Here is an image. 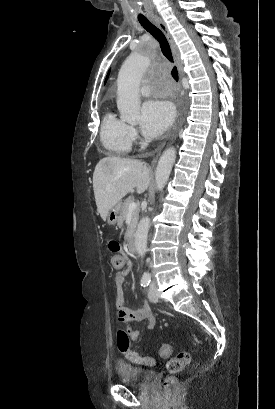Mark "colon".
I'll list each match as a JSON object with an SVG mask.
<instances>
[{
  "mask_svg": "<svg viewBox=\"0 0 275 409\" xmlns=\"http://www.w3.org/2000/svg\"><path fill=\"white\" fill-rule=\"evenodd\" d=\"M108 249L112 252H118L120 250V243L115 239H110L108 241ZM113 269L121 270L122 269V257L120 255H115L113 257ZM160 357L168 358L171 352L170 343L162 342L160 346ZM191 362V355L188 352H180L177 355L171 357L167 363V371L169 376L166 378V382H171L177 375L189 366Z\"/></svg>",
  "mask_w": 275,
  "mask_h": 409,
  "instance_id": "5ec220e1",
  "label": "colon"
}]
</instances>
